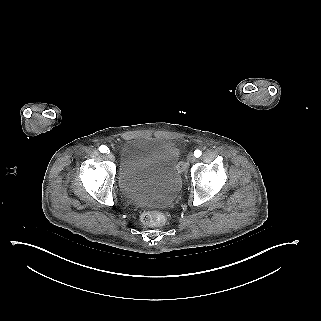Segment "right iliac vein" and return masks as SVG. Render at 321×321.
Here are the masks:
<instances>
[{
    "mask_svg": "<svg viewBox=\"0 0 321 321\" xmlns=\"http://www.w3.org/2000/svg\"><path fill=\"white\" fill-rule=\"evenodd\" d=\"M106 156H107V158H108L109 160H111V161L114 160V155H113L112 153L108 152Z\"/></svg>",
    "mask_w": 321,
    "mask_h": 321,
    "instance_id": "right-iliac-vein-1",
    "label": "right iliac vein"
}]
</instances>
